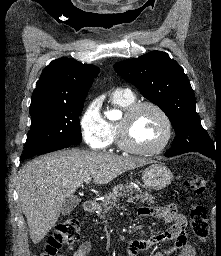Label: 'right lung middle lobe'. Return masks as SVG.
<instances>
[{
  "instance_id": "right-lung-middle-lobe-1",
  "label": "right lung middle lobe",
  "mask_w": 221,
  "mask_h": 256,
  "mask_svg": "<svg viewBox=\"0 0 221 256\" xmlns=\"http://www.w3.org/2000/svg\"><path fill=\"white\" fill-rule=\"evenodd\" d=\"M83 106L80 102L30 111L31 128L21 160L57 145H78L82 141L79 116Z\"/></svg>"
}]
</instances>
